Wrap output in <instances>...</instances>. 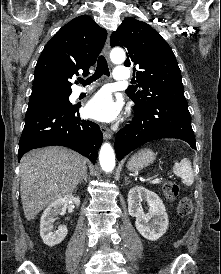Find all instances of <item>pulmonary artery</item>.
<instances>
[{
	"instance_id": "pulmonary-artery-1",
	"label": "pulmonary artery",
	"mask_w": 221,
	"mask_h": 274,
	"mask_svg": "<svg viewBox=\"0 0 221 274\" xmlns=\"http://www.w3.org/2000/svg\"><path fill=\"white\" fill-rule=\"evenodd\" d=\"M113 76H114V79L117 81H126V80H129L131 77L130 71L123 66L116 67L114 70ZM92 89H93V86L89 88L80 87V88H77L74 93L75 95H80L81 93L91 91Z\"/></svg>"
}]
</instances>
